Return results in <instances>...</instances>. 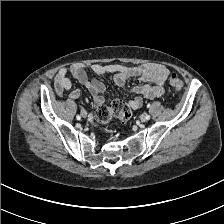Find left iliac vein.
<instances>
[{"mask_svg": "<svg viewBox=\"0 0 224 224\" xmlns=\"http://www.w3.org/2000/svg\"><path fill=\"white\" fill-rule=\"evenodd\" d=\"M140 120H141V122H146L148 120L147 115H145V114L141 115Z\"/></svg>", "mask_w": 224, "mask_h": 224, "instance_id": "1", "label": "left iliac vein"}]
</instances>
